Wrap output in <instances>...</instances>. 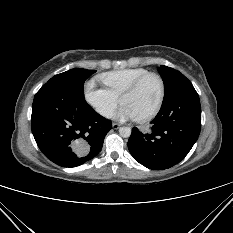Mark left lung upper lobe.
<instances>
[{
  "label": "left lung upper lobe",
  "instance_id": "1",
  "mask_svg": "<svg viewBox=\"0 0 233 233\" xmlns=\"http://www.w3.org/2000/svg\"><path fill=\"white\" fill-rule=\"evenodd\" d=\"M158 72L160 73L165 86L164 101L172 92L177 81L184 75H182L179 71L164 65L158 67Z\"/></svg>",
  "mask_w": 233,
  "mask_h": 233
}]
</instances>
